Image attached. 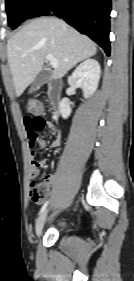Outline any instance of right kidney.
<instances>
[{
	"instance_id": "1",
	"label": "right kidney",
	"mask_w": 134,
	"mask_h": 281,
	"mask_svg": "<svg viewBox=\"0 0 134 281\" xmlns=\"http://www.w3.org/2000/svg\"><path fill=\"white\" fill-rule=\"evenodd\" d=\"M101 69L98 61L87 59L82 62L69 78V84L73 87L83 89L84 98L92 96L99 83ZM59 110L64 119L68 118L71 113L70 101L63 98L59 104Z\"/></svg>"
}]
</instances>
